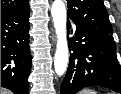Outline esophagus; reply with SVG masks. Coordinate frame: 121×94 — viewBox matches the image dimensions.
Masks as SVG:
<instances>
[{
	"label": "esophagus",
	"instance_id": "obj_1",
	"mask_svg": "<svg viewBox=\"0 0 121 94\" xmlns=\"http://www.w3.org/2000/svg\"><path fill=\"white\" fill-rule=\"evenodd\" d=\"M51 38H52V40H53V41H55V37H54V35H52V37H51Z\"/></svg>",
	"mask_w": 121,
	"mask_h": 94
}]
</instances>
